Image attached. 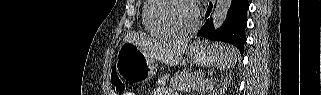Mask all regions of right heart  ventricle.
<instances>
[{"label":"right heart ventricle","mask_w":321,"mask_h":95,"mask_svg":"<svg viewBox=\"0 0 321 95\" xmlns=\"http://www.w3.org/2000/svg\"><path fill=\"white\" fill-rule=\"evenodd\" d=\"M155 0H145L142 5V24L146 31L155 36H167V34L158 28L151 18V10L155 5Z\"/></svg>","instance_id":"1"}]
</instances>
